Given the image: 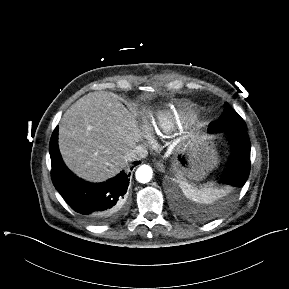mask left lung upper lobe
I'll return each mask as SVG.
<instances>
[{"label": "left lung upper lobe", "instance_id": "5c2ea615", "mask_svg": "<svg viewBox=\"0 0 289 289\" xmlns=\"http://www.w3.org/2000/svg\"><path fill=\"white\" fill-rule=\"evenodd\" d=\"M233 128L247 130L244 120L234 109L225 103V110L223 111L221 117L217 121L210 123L208 130L210 132H219Z\"/></svg>", "mask_w": 289, "mask_h": 289}]
</instances>
